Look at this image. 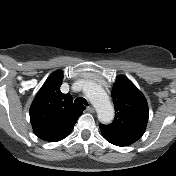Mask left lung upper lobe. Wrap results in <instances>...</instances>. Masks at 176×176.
I'll use <instances>...</instances> for the list:
<instances>
[{
    "label": "left lung upper lobe",
    "mask_w": 176,
    "mask_h": 176,
    "mask_svg": "<svg viewBox=\"0 0 176 176\" xmlns=\"http://www.w3.org/2000/svg\"><path fill=\"white\" fill-rule=\"evenodd\" d=\"M115 119L110 125H100L105 139L128 146L145 132L149 110L144 95L125 76L119 75L112 88Z\"/></svg>",
    "instance_id": "5c2ea615"
}]
</instances>
